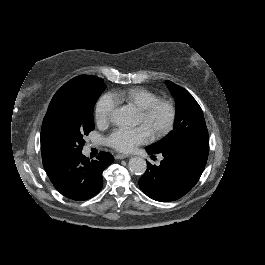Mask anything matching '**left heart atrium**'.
Here are the masks:
<instances>
[{
    "label": "left heart atrium",
    "instance_id": "left-heart-atrium-1",
    "mask_svg": "<svg viewBox=\"0 0 265 265\" xmlns=\"http://www.w3.org/2000/svg\"><path fill=\"white\" fill-rule=\"evenodd\" d=\"M151 138L152 133L145 125L135 128L121 126L112 130L107 141L112 148L120 152H131L138 145L149 142Z\"/></svg>",
    "mask_w": 265,
    "mask_h": 265
}]
</instances>
